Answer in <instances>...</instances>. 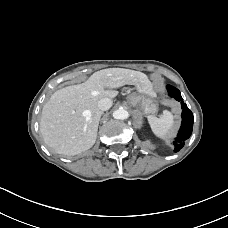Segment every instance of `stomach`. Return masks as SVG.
I'll use <instances>...</instances> for the list:
<instances>
[{"instance_id":"obj_1","label":"stomach","mask_w":228,"mask_h":228,"mask_svg":"<svg viewBox=\"0 0 228 228\" xmlns=\"http://www.w3.org/2000/svg\"><path fill=\"white\" fill-rule=\"evenodd\" d=\"M127 103L146 114H155L157 112V104L155 103L153 99V93L152 94H130L127 97Z\"/></svg>"}]
</instances>
